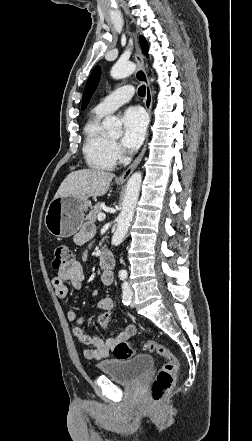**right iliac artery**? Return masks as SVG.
Wrapping results in <instances>:
<instances>
[{
	"label": "right iliac artery",
	"instance_id": "right-iliac-artery-1",
	"mask_svg": "<svg viewBox=\"0 0 252 441\" xmlns=\"http://www.w3.org/2000/svg\"><path fill=\"white\" fill-rule=\"evenodd\" d=\"M122 288H123V303L124 305H129L131 302L132 293L130 291V287L128 283L124 282Z\"/></svg>",
	"mask_w": 252,
	"mask_h": 441
}]
</instances>
